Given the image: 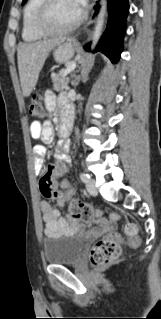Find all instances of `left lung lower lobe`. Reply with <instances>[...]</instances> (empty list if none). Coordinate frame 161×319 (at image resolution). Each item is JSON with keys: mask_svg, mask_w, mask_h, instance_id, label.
I'll return each instance as SVG.
<instances>
[{"mask_svg": "<svg viewBox=\"0 0 161 319\" xmlns=\"http://www.w3.org/2000/svg\"><path fill=\"white\" fill-rule=\"evenodd\" d=\"M100 6H95V17ZM109 20L105 33L99 41L95 51H101L113 63H117L123 50L126 19L129 11L128 0H108ZM90 43L84 46L89 50Z\"/></svg>", "mask_w": 161, "mask_h": 319, "instance_id": "obj_1", "label": "left lung lower lobe"}]
</instances>
